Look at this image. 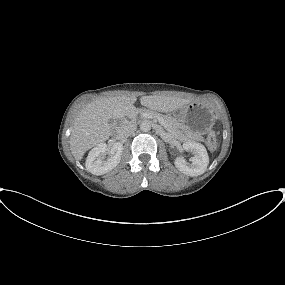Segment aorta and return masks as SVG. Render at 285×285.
I'll return each instance as SVG.
<instances>
[{
  "label": "aorta",
  "instance_id": "762f6f07",
  "mask_svg": "<svg viewBox=\"0 0 285 285\" xmlns=\"http://www.w3.org/2000/svg\"><path fill=\"white\" fill-rule=\"evenodd\" d=\"M140 129L143 131V132H148L151 130V122L150 121H143L141 122L140 124Z\"/></svg>",
  "mask_w": 285,
  "mask_h": 285
}]
</instances>
